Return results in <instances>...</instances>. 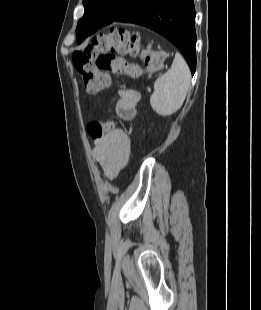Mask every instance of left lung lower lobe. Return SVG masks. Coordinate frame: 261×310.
I'll return each instance as SVG.
<instances>
[{"label":"left lung lower lobe","instance_id":"0a47b994","mask_svg":"<svg viewBox=\"0 0 261 310\" xmlns=\"http://www.w3.org/2000/svg\"><path fill=\"white\" fill-rule=\"evenodd\" d=\"M134 23L148 27L170 40L184 55L192 74L196 70L195 8L193 0H128L124 9L110 22H86L77 42L112 22Z\"/></svg>","mask_w":261,"mask_h":310}]
</instances>
